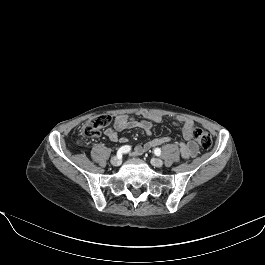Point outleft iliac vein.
Listing matches in <instances>:
<instances>
[{
  "label": "left iliac vein",
  "instance_id": "obj_1",
  "mask_svg": "<svg viewBox=\"0 0 265 265\" xmlns=\"http://www.w3.org/2000/svg\"><path fill=\"white\" fill-rule=\"evenodd\" d=\"M151 164L155 167H161L163 165V161L159 158H152Z\"/></svg>",
  "mask_w": 265,
  "mask_h": 265
}]
</instances>
